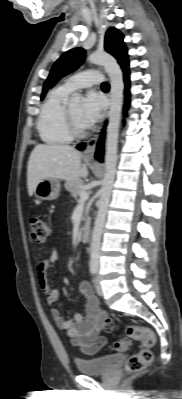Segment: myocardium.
I'll return each mask as SVG.
<instances>
[{
  "mask_svg": "<svg viewBox=\"0 0 182 399\" xmlns=\"http://www.w3.org/2000/svg\"><path fill=\"white\" fill-rule=\"evenodd\" d=\"M65 118H66L68 131L72 137L82 138L87 134L86 128H81L77 125L68 107L66 108L65 111Z\"/></svg>",
  "mask_w": 182,
  "mask_h": 399,
  "instance_id": "obj_1",
  "label": "myocardium"
}]
</instances>
